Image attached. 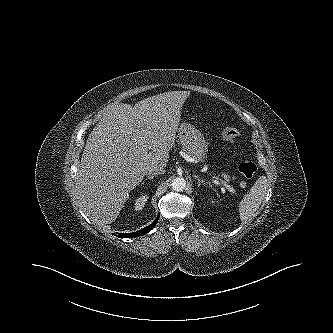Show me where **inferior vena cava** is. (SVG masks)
I'll list each match as a JSON object with an SVG mask.
<instances>
[{
    "mask_svg": "<svg viewBox=\"0 0 333 333\" xmlns=\"http://www.w3.org/2000/svg\"><path fill=\"white\" fill-rule=\"evenodd\" d=\"M165 170L162 167L159 166H152L147 169L148 176H155L157 174H164Z\"/></svg>",
    "mask_w": 333,
    "mask_h": 333,
    "instance_id": "1",
    "label": "inferior vena cava"
}]
</instances>
